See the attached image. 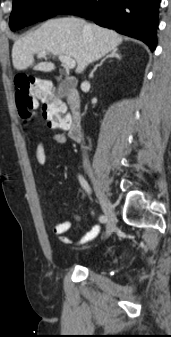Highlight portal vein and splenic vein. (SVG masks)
<instances>
[{
  "mask_svg": "<svg viewBox=\"0 0 171 337\" xmlns=\"http://www.w3.org/2000/svg\"><path fill=\"white\" fill-rule=\"evenodd\" d=\"M46 55H47L46 52H41V53L38 54V57H45ZM59 60H60L62 63H64L68 69H73V68H75V66H76L75 60L72 59V58L69 57V56L60 55V56H59Z\"/></svg>",
  "mask_w": 171,
  "mask_h": 337,
  "instance_id": "1",
  "label": "portal vein and splenic vein"
}]
</instances>
